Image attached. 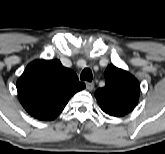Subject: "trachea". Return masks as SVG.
<instances>
[{"mask_svg": "<svg viewBox=\"0 0 165 154\" xmlns=\"http://www.w3.org/2000/svg\"><path fill=\"white\" fill-rule=\"evenodd\" d=\"M93 78L92 71L89 68H85L80 75V79L91 82Z\"/></svg>", "mask_w": 165, "mask_h": 154, "instance_id": "1", "label": "trachea"}]
</instances>
